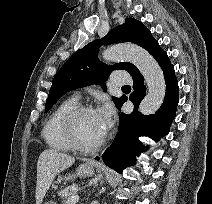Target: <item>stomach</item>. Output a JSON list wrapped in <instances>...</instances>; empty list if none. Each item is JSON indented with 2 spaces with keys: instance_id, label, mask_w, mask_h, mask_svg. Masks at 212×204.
Masks as SVG:
<instances>
[{
  "instance_id": "obj_1",
  "label": "stomach",
  "mask_w": 212,
  "mask_h": 204,
  "mask_svg": "<svg viewBox=\"0 0 212 204\" xmlns=\"http://www.w3.org/2000/svg\"><path fill=\"white\" fill-rule=\"evenodd\" d=\"M94 174V164L92 163H84L81 164L77 169L75 174H68L65 177H60V179H65L66 181L72 180L76 177H90ZM44 204H56L54 202H46Z\"/></svg>"
}]
</instances>
